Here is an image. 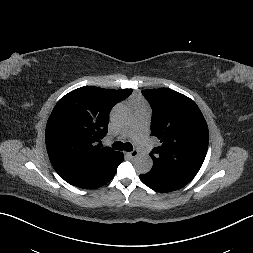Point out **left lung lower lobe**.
Segmentation results:
<instances>
[{"mask_svg":"<svg viewBox=\"0 0 253 253\" xmlns=\"http://www.w3.org/2000/svg\"><path fill=\"white\" fill-rule=\"evenodd\" d=\"M140 179L148 187L163 193L178 190L191 181V179L183 176L154 170L145 175H140Z\"/></svg>","mask_w":253,"mask_h":253,"instance_id":"1","label":"left lung lower lobe"}]
</instances>
